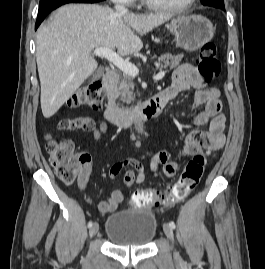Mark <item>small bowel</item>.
Segmentation results:
<instances>
[{
    "label": "small bowel",
    "instance_id": "c3829d8e",
    "mask_svg": "<svg viewBox=\"0 0 265 269\" xmlns=\"http://www.w3.org/2000/svg\"><path fill=\"white\" fill-rule=\"evenodd\" d=\"M193 91L194 108L205 106L204 111L197 114L193 122L197 126L210 124V132L200 130L192 131L184 140L181 149V155L191 156L201 153L205 148L218 150L225 144L226 137L224 134V116L221 114L222 102L220 100V91L215 87H207L198 69L190 64H182L177 67L173 73L172 84L161 94L164 100V106L174 100L180 93ZM89 127L82 131L93 132L97 140L106 137L108 127L105 122L95 125L94 122L86 118ZM81 172L78 178V186L84 190L91 172V157L89 154H82ZM131 166L133 169L128 170L124 174V185L127 188L134 184L144 182L147 169L145 165L134 158H126L113 163L109 169V177L115 179L124 167ZM150 167L157 171L161 169L162 173L167 177L174 176L179 168V164L175 161L168 150H161L155 153L151 159ZM124 200V193L119 189L111 192L109 198L101 201L98 210L102 214L112 213L118 209L119 204Z\"/></svg>",
    "mask_w": 265,
    "mask_h": 269
}]
</instances>
